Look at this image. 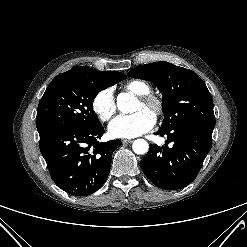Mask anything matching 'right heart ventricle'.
<instances>
[{
    "instance_id": "obj_1",
    "label": "right heart ventricle",
    "mask_w": 247,
    "mask_h": 247,
    "mask_svg": "<svg viewBox=\"0 0 247 247\" xmlns=\"http://www.w3.org/2000/svg\"><path fill=\"white\" fill-rule=\"evenodd\" d=\"M123 89L137 96L150 93L151 90L150 86L141 80L128 81L123 85Z\"/></svg>"
}]
</instances>
